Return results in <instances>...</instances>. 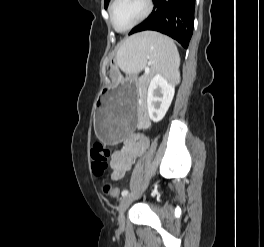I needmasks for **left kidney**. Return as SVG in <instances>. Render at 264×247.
I'll return each mask as SVG.
<instances>
[{"label": "left kidney", "instance_id": "1", "mask_svg": "<svg viewBox=\"0 0 264 247\" xmlns=\"http://www.w3.org/2000/svg\"><path fill=\"white\" fill-rule=\"evenodd\" d=\"M175 93V84L161 74L150 80L147 91V109L150 119L159 122L168 111Z\"/></svg>", "mask_w": 264, "mask_h": 247}]
</instances>
